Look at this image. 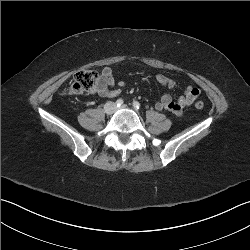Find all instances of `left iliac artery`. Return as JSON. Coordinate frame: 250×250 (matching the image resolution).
<instances>
[{
	"label": "left iliac artery",
	"mask_w": 250,
	"mask_h": 250,
	"mask_svg": "<svg viewBox=\"0 0 250 250\" xmlns=\"http://www.w3.org/2000/svg\"><path fill=\"white\" fill-rule=\"evenodd\" d=\"M133 107L136 108V109H139L140 108V103L138 101H134L133 102Z\"/></svg>",
	"instance_id": "44dca946"
}]
</instances>
